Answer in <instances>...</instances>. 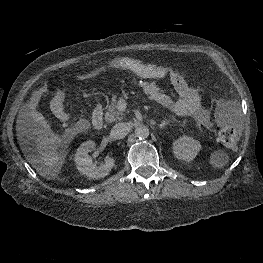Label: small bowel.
Here are the masks:
<instances>
[{
  "mask_svg": "<svg viewBox=\"0 0 263 263\" xmlns=\"http://www.w3.org/2000/svg\"><path fill=\"white\" fill-rule=\"evenodd\" d=\"M168 79L173 86L176 97L166 93L154 82L141 80L139 86L150 100L172 110L177 115L192 117L197 124L203 128H210L212 126L210 109L204 105L198 91L189 86L186 80L178 72L171 73L168 76ZM47 90L48 87L43 86L32 95L29 103L25 107L26 112H34L35 107ZM53 98L54 95L51 100V106L55 112ZM63 102L64 95L61 93L59 105L60 108L64 110Z\"/></svg>",
  "mask_w": 263,
  "mask_h": 263,
  "instance_id": "small-bowel-1",
  "label": "small bowel"
}]
</instances>
